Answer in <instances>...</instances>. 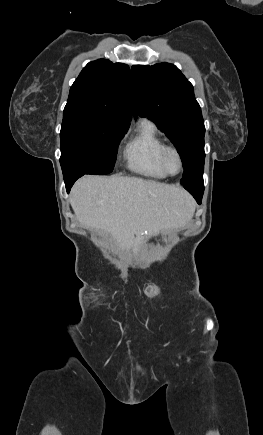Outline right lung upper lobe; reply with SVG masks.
<instances>
[{
    "label": "right lung upper lobe",
    "mask_w": 263,
    "mask_h": 435,
    "mask_svg": "<svg viewBox=\"0 0 263 435\" xmlns=\"http://www.w3.org/2000/svg\"><path fill=\"white\" fill-rule=\"evenodd\" d=\"M134 105L129 67L99 59L88 63L71 86L64 112L86 111L117 126L128 128Z\"/></svg>",
    "instance_id": "obj_1"
}]
</instances>
